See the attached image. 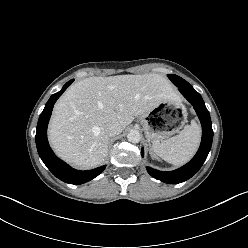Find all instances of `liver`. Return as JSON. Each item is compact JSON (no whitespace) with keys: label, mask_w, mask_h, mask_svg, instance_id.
<instances>
[{"label":"liver","mask_w":248,"mask_h":248,"mask_svg":"<svg viewBox=\"0 0 248 248\" xmlns=\"http://www.w3.org/2000/svg\"><path fill=\"white\" fill-rule=\"evenodd\" d=\"M170 81L155 73L89 77L60 97L54 106L49 140L57 155L80 169L102 165L108 155L106 126L124 130L164 100H176Z\"/></svg>","instance_id":"liver-1"}]
</instances>
